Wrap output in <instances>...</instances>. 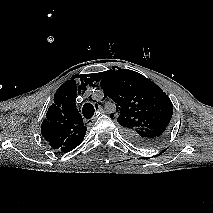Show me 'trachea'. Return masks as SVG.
Here are the masks:
<instances>
[{
	"label": "trachea",
	"mask_w": 213,
	"mask_h": 213,
	"mask_svg": "<svg viewBox=\"0 0 213 213\" xmlns=\"http://www.w3.org/2000/svg\"><path fill=\"white\" fill-rule=\"evenodd\" d=\"M94 112H95V109L92 104L86 103L83 105L82 113L86 119L92 118V116L94 115Z\"/></svg>",
	"instance_id": "3493384b"
}]
</instances>
